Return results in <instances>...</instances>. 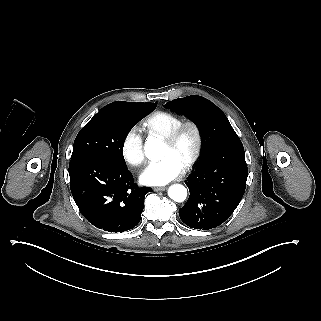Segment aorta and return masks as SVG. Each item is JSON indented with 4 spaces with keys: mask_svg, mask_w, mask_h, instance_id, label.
I'll return each instance as SVG.
<instances>
[{
    "mask_svg": "<svg viewBox=\"0 0 321 321\" xmlns=\"http://www.w3.org/2000/svg\"><path fill=\"white\" fill-rule=\"evenodd\" d=\"M162 142L156 138H149L145 142V155L151 159L156 160L160 155ZM168 196L175 202H183L187 197V190L181 184H174L168 190Z\"/></svg>",
    "mask_w": 321,
    "mask_h": 321,
    "instance_id": "obj_1",
    "label": "aorta"
}]
</instances>
